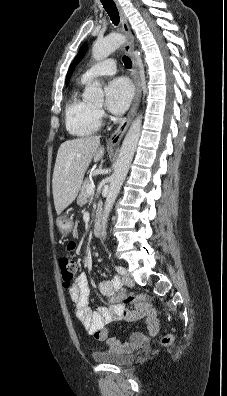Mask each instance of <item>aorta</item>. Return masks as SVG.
I'll return each instance as SVG.
<instances>
[{"mask_svg":"<svg viewBox=\"0 0 227 396\" xmlns=\"http://www.w3.org/2000/svg\"><path fill=\"white\" fill-rule=\"evenodd\" d=\"M125 41L126 38L122 34L112 33L101 40H97L93 44L92 56L96 61L103 60L111 53H113L116 49H118L122 44H124ZM84 96L90 101L102 102L103 91L101 89V84L98 81H95L90 87L85 90ZM141 125L142 115H138L132 122L123 140L121 150L115 164L114 172L110 178L109 190L106 197L104 213L102 217L101 237L103 238V240L106 237L107 218L128 173L140 137Z\"/></svg>","mask_w":227,"mask_h":396,"instance_id":"1","label":"aorta"}]
</instances>
